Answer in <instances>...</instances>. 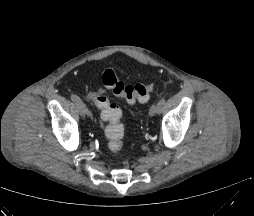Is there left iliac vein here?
Returning a JSON list of instances; mask_svg holds the SVG:
<instances>
[{"mask_svg":"<svg viewBox=\"0 0 254 216\" xmlns=\"http://www.w3.org/2000/svg\"><path fill=\"white\" fill-rule=\"evenodd\" d=\"M158 112L157 104H154L149 109V116H154Z\"/></svg>","mask_w":254,"mask_h":216,"instance_id":"4c4485c4","label":"left iliac vein"}]
</instances>
